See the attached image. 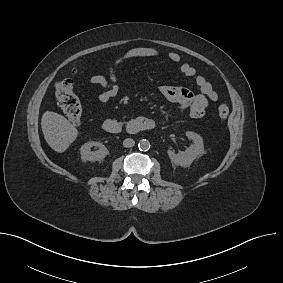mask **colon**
<instances>
[{
    "mask_svg": "<svg viewBox=\"0 0 283 283\" xmlns=\"http://www.w3.org/2000/svg\"><path fill=\"white\" fill-rule=\"evenodd\" d=\"M73 72L75 69L72 70ZM55 96L57 103L67 116L69 122L75 126L79 125L82 117V105L74 92V81L70 77H65L55 84ZM218 115L225 121L229 116V108L226 104L218 107Z\"/></svg>",
    "mask_w": 283,
    "mask_h": 283,
    "instance_id": "5ec220e1",
    "label": "colon"
}]
</instances>
